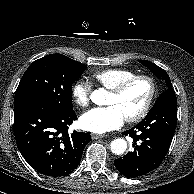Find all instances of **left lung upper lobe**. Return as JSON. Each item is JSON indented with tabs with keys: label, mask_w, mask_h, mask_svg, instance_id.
<instances>
[{
	"label": "left lung upper lobe",
	"mask_w": 194,
	"mask_h": 194,
	"mask_svg": "<svg viewBox=\"0 0 194 194\" xmlns=\"http://www.w3.org/2000/svg\"><path fill=\"white\" fill-rule=\"evenodd\" d=\"M138 61L143 65L147 66L155 76H157L159 79L164 80L166 83L167 90L164 93L159 95L157 101L155 102V105L169 99H176L175 91L173 89L170 78L166 73V71L150 61H147V60H138Z\"/></svg>",
	"instance_id": "left-lung-upper-lobe-1"
}]
</instances>
